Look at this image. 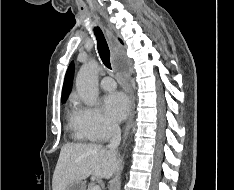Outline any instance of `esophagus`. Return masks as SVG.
Segmentation results:
<instances>
[{"instance_id":"1","label":"esophagus","mask_w":234,"mask_h":190,"mask_svg":"<svg viewBox=\"0 0 234 190\" xmlns=\"http://www.w3.org/2000/svg\"><path fill=\"white\" fill-rule=\"evenodd\" d=\"M105 31H106V35H107V37L109 39V42L111 44H113L114 36H113L112 32L110 30H108V29H105ZM134 108H135L134 96H133V94H131L130 115H129V119H128L125 131H124V139L127 138L128 134H129V131H130L131 127H132V122H133V118H134Z\"/></svg>"}]
</instances>
